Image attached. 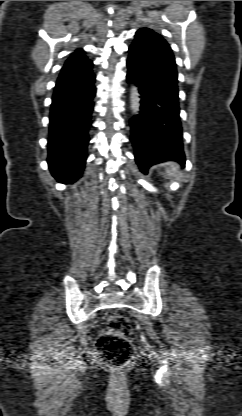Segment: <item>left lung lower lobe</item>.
<instances>
[{
	"mask_svg": "<svg viewBox=\"0 0 242 416\" xmlns=\"http://www.w3.org/2000/svg\"><path fill=\"white\" fill-rule=\"evenodd\" d=\"M127 80L136 83L141 106L131 121L130 141L142 173L157 163H185L175 58L154 31H137L129 47Z\"/></svg>",
	"mask_w": 242,
	"mask_h": 416,
	"instance_id": "0a47b994",
	"label": "left lung lower lobe"
}]
</instances>
